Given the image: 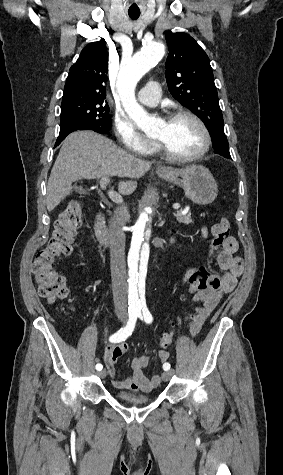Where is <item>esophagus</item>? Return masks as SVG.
I'll return each mask as SVG.
<instances>
[{"mask_svg": "<svg viewBox=\"0 0 283 475\" xmlns=\"http://www.w3.org/2000/svg\"><path fill=\"white\" fill-rule=\"evenodd\" d=\"M157 171H161V172H169V169L167 167H157Z\"/></svg>", "mask_w": 283, "mask_h": 475, "instance_id": "obj_1", "label": "esophagus"}]
</instances>
